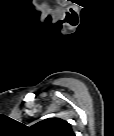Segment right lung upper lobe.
<instances>
[{
  "instance_id": "right-lung-upper-lobe-1",
  "label": "right lung upper lobe",
  "mask_w": 114,
  "mask_h": 136,
  "mask_svg": "<svg viewBox=\"0 0 114 136\" xmlns=\"http://www.w3.org/2000/svg\"><path fill=\"white\" fill-rule=\"evenodd\" d=\"M37 136H74L71 125L60 118H48L31 126Z\"/></svg>"
}]
</instances>
